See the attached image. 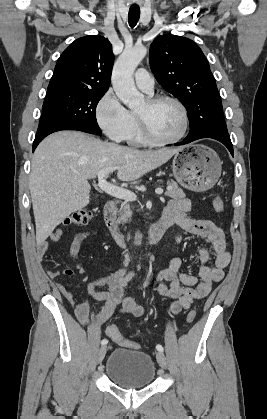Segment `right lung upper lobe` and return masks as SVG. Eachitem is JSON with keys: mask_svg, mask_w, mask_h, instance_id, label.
<instances>
[{"mask_svg": "<svg viewBox=\"0 0 267 419\" xmlns=\"http://www.w3.org/2000/svg\"><path fill=\"white\" fill-rule=\"evenodd\" d=\"M114 55L102 36H84L71 43L59 57L47 93L57 91L106 92Z\"/></svg>", "mask_w": 267, "mask_h": 419, "instance_id": "right-lung-upper-lobe-1", "label": "right lung upper lobe"}]
</instances>
